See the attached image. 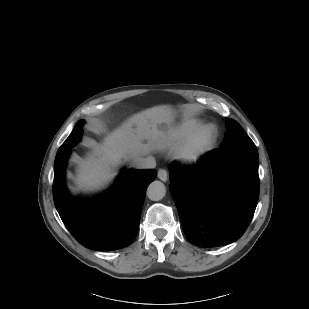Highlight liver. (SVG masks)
I'll use <instances>...</instances> for the list:
<instances>
[{"mask_svg": "<svg viewBox=\"0 0 309 309\" xmlns=\"http://www.w3.org/2000/svg\"><path fill=\"white\" fill-rule=\"evenodd\" d=\"M173 110L167 106H155L132 115L120 127L110 132L103 144H95L87 159H78L77 189H97L115 176L114 167L121 158L145 153L143 138L157 140L160 124H171Z\"/></svg>", "mask_w": 309, "mask_h": 309, "instance_id": "6515ba94", "label": "liver"}]
</instances>
